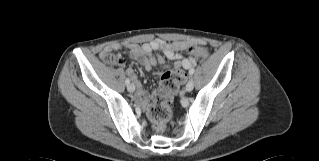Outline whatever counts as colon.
Wrapping results in <instances>:
<instances>
[{
	"instance_id": "obj_1",
	"label": "colon",
	"mask_w": 319,
	"mask_h": 161,
	"mask_svg": "<svg viewBox=\"0 0 319 161\" xmlns=\"http://www.w3.org/2000/svg\"><path fill=\"white\" fill-rule=\"evenodd\" d=\"M207 56L208 52L206 50H203L200 54L201 59H206ZM104 61L111 66L122 65L124 57L116 52H108L104 56ZM181 82H183L182 69L174 67L163 74L159 87L153 92L152 102L147 111L149 117L158 126H162L170 120L173 97Z\"/></svg>"
}]
</instances>
